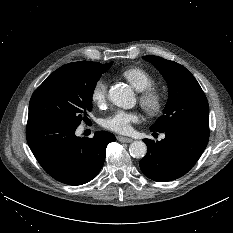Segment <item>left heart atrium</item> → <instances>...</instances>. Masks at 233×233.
I'll use <instances>...</instances> for the list:
<instances>
[{
    "label": "left heart atrium",
    "mask_w": 233,
    "mask_h": 233,
    "mask_svg": "<svg viewBox=\"0 0 233 233\" xmlns=\"http://www.w3.org/2000/svg\"><path fill=\"white\" fill-rule=\"evenodd\" d=\"M141 117L138 112L115 110L104 119L105 128L120 134H127L132 129V124L138 123Z\"/></svg>",
    "instance_id": "39dd6f15"
}]
</instances>
